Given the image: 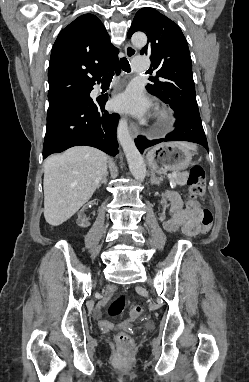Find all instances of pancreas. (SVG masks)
<instances>
[{"instance_id":"pancreas-1","label":"pancreas","mask_w":249,"mask_h":382,"mask_svg":"<svg viewBox=\"0 0 249 382\" xmlns=\"http://www.w3.org/2000/svg\"><path fill=\"white\" fill-rule=\"evenodd\" d=\"M187 181V175L186 174H178L177 177L173 180L174 185H185Z\"/></svg>"}]
</instances>
